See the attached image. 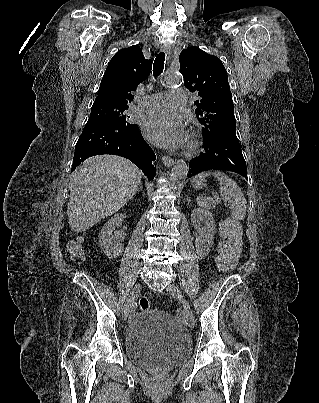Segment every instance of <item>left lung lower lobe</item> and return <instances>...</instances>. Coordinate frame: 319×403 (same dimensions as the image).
Listing matches in <instances>:
<instances>
[{
  "label": "left lung lower lobe",
  "instance_id": "1",
  "mask_svg": "<svg viewBox=\"0 0 319 403\" xmlns=\"http://www.w3.org/2000/svg\"><path fill=\"white\" fill-rule=\"evenodd\" d=\"M235 131L236 127H226L204 137V151L190 161L187 176L216 169L236 172L247 178L246 162Z\"/></svg>",
  "mask_w": 319,
  "mask_h": 403
}]
</instances>
